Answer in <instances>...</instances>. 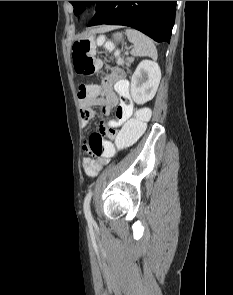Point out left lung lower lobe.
Wrapping results in <instances>:
<instances>
[{
  "mask_svg": "<svg viewBox=\"0 0 233 295\" xmlns=\"http://www.w3.org/2000/svg\"><path fill=\"white\" fill-rule=\"evenodd\" d=\"M176 1H101L87 26L126 25L157 42H170Z\"/></svg>",
  "mask_w": 233,
  "mask_h": 295,
  "instance_id": "0a47b994",
  "label": "left lung lower lobe"
}]
</instances>
